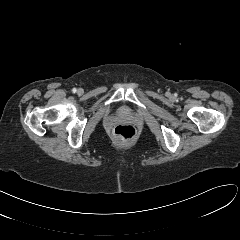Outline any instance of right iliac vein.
Here are the masks:
<instances>
[{
    "instance_id": "obj_1",
    "label": "right iliac vein",
    "mask_w": 240,
    "mask_h": 240,
    "mask_svg": "<svg viewBox=\"0 0 240 240\" xmlns=\"http://www.w3.org/2000/svg\"><path fill=\"white\" fill-rule=\"evenodd\" d=\"M81 91H82V90H81V89H79V90H78V93H81Z\"/></svg>"
}]
</instances>
